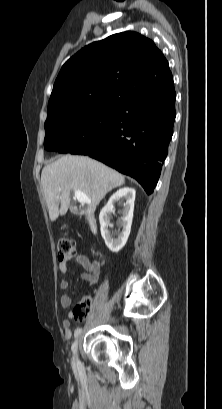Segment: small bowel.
Segmentation results:
<instances>
[{"instance_id": "1", "label": "small bowel", "mask_w": 222, "mask_h": 409, "mask_svg": "<svg viewBox=\"0 0 222 409\" xmlns=\"http://www.w3.org/2000/svg\"><path fill=\"white\" fill-rule=\"evenodd\" d=\"M76 261L84 267L86 272L82 274L83 279L89 284V286H93L97 283L98 277L100 274V263L98 261L91 260L85 254L77 255ZM61 271L66 273V268L64 265H61ZM61 289L65 290L69 287V282L66 279H63L60 282ZM72 299L68 294H63L60 297V304L63 308H69L71 306ZM71 316V315H70ZM63 328L65 330V335L70 337L71 335V322L69 319H64L62 322Z\"/></svg>"}]
</instances>
